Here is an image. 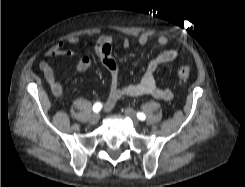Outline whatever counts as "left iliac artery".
<instances>
[{
    "label": "left iliac artery",
    "instance_id": "44dca946",
    "mask_svg": "<svg viewBox=\"0 0 245 187\" xmlns=\"http://www.w3.org/2000/svg\"><path fill=\"white\" fill-rule=\"evenodd\" d=\"M137 117H138L139 120H142V121L146 119L145 114L144 113H141V112H138L137 113Z\"/></svg>",
    "mask_w": 245,
    "mask_h": 187
}]
</instances>
